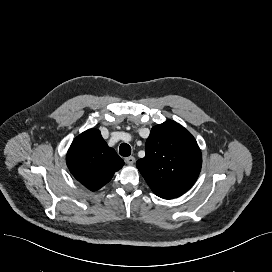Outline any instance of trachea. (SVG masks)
<instances>
[{
	"label": "trachea",
	"instance_id": "trachea-1",
	"mask_svg": "<svg viewBox=\"0 0 272 272\" xmlns=\"http://www.w3.org/2000/svg\"><path fill=\"white\" fill-rule=\"evenodd\" d=\"M119 153L123 157H128L131 155V147L126 143H122L119 148Z\"/></svg>",
	"mask_w": 272,
	"mask_h": 272
}]
</instances>
